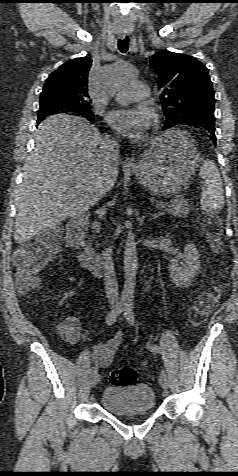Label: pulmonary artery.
<instances>
[{"instance_id": "1", "label": "pulmonary artery", "mask_w": 238, "mask_h": 476, "mask_svg": "<svg viewBox=\"0 0 238 476\" xmlns=\"http://www.w3.org/2000/svg\"><path fill=\"white\" fill-rule=\"evenodd\" d=\"M148 96L149 87L141 81H133L116 93L115 100L118 103L126 104L146 99Z\"/></svg>"}]
</instances>
